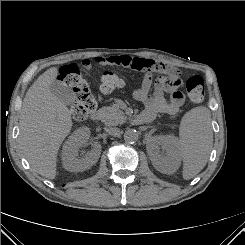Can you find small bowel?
<instances>
[{"label": "small bowel", "instance_id": "c3829d8e", "mask_svg": "<svg viewBox=\"0 0 245 245\" xmlns=\"http://www.w3.org/2000/svg\"><path fill=\"white\" fill-rule=\"evenodd\" d=\"M95 62L99 65L123 66L131 70L142 72V78H138L139 85L134 90V97L144 105L143 115L152 121L158 113L169 115L177 114L184 105L185 97L180 91V79H171L168 76L160 77L151 92L152 74L162 72L157 62L149 58L132 57L129 55L97 56ZM85 67L90 66L89 60H83ZM169 94V100L165 95Z\"/></svg>", "mask_w": 245, "mask_h": 245}]
</instances>
